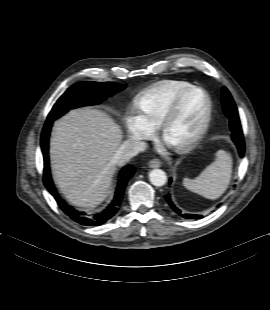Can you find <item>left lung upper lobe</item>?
<instances>
[{
	"mask_svg": "<svg viewBox=\"0 0 270 310\" xmlns=\"http://www.w3.org/2000/svg\"><path fill=\"white\" fill-rule=\"evenodd\" d=\"M222 106L225 115L229 119V126L232 132V139L243 138L242 128L239 120L238 111L233 98L227 88L222 89Z\"/></svg>",
	"mask_w": 270,
	"mask_h": 310,
	"instance_id": "5c2ea615",
	"label": "left lung upper lobe"
}]
</instances>
